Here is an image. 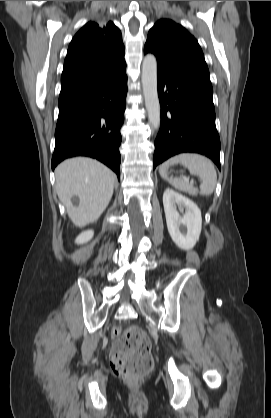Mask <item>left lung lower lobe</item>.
<instances>
[{
    "label": "left lung lower lobe",
    "instance_id": "0a47b994",
    "mask_svg": "<svg viewBox=\"0 0 271 418\" xmlns=\"http://www.w3.org/2000/svg\"><path fill=\"white\" fill-rule=\"evenodd\" d=\"M147 52L153 53L144 47ZM156 58L161 126L155 140L154 168L176 154L193 152L211 158L220 169L221 146L209 77Z\"/></svg>",
    "mask_w": 271,
    "mask_h": 418
}]
</instances>
